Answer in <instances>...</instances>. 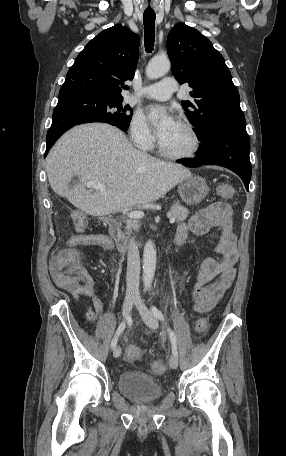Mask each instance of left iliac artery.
Listing matches in <instances>:
<instances>
[{
    "label": "left iliac artery",
    "instance_id": "1",
    "mask_svg": "<svg viewBox=\"0 0 286 456\" xmlns=\"http://www.w3.org/2000/svg\"><path fill=\"white\" fill-rule=\"evenodd\" d=\"M151 311L156 318H158L161 321H164V315L157 307L151 306ZM168 332H169V337H170V341L172 344L173 355L175 357H178L177 346H176V342H177L176 335L171 329H168Z\"/></svg>",
    "mask_w": 286,
    "mask_h": 456
}]
</instances>
